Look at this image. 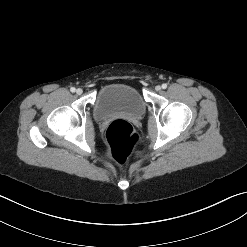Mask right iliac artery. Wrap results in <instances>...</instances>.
<instances>
[{
	"instance_id": "82829eb1",
	"label": "right iliac artery",
	"mask_w": 247,
	"mask_h": 247,
	"mask_svg": "<svg viewBox=\"0 0 247 247\" xmlns=\"http://www.w3.org/2000/svg\"><path fill=\"white\" fill-rule=\"evenodd\" d=\"M70 91H71L72 93H74V92L76 91V89H75L74 87H71Z\"/></svg>"
}]
</instances>
